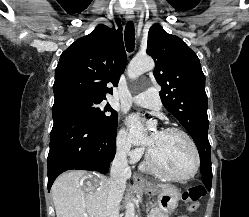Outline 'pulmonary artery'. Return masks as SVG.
Segmentation results:
<instances>
[{
  "label": "pulmonary artery",
  "instance_id": "1",
  "mask_svg": "<svg viewBox=\"0 0 249 217\" xmlns=\"http://www.w3.org/2000/svg\"><path fill=\"white\" fill-rule=\"evenodd\" d=\"M130 101L153 110H160L162 108L158 90L154 87H150L146 91L131 97Z\"/></svg>",
  "mask_w": 249,
  "mask_h": 217
}]
</instances>
